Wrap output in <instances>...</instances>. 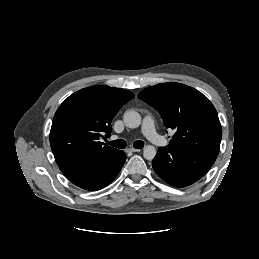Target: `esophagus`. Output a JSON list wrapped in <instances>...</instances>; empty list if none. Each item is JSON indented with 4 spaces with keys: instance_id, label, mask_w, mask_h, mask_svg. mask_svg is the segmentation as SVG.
<instances>
[{
    "instance_id": "1",
    "label": "esophagus",
    "mask_w": 259,
    "mask_h": 259,
    "mask_svg": "<svg viewBox=\"0 0 259 259\" xmlns=\"http://www.w3.org/2000/svg\"><path fill=\"white\" fill-rule=\"evenodd\" d=\"M128 151H130V152H140L141 150L135 149V148H130V149H128Z\"/></svg>"
}]
</instances>
